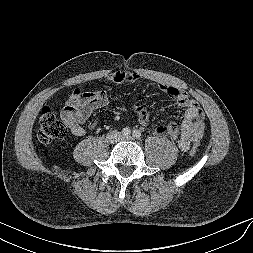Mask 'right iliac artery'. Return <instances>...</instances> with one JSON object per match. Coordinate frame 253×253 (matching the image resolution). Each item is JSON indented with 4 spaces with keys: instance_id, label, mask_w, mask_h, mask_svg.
<instances>
[{
    "instance_id": "right-iliac-artery-1",
    "label": "right iliac artery",
    "mask_w": 253,
    "mask_h": 253,
    "mask_svg": "<svg viewBox=\"0 0 253 253\" xmlns=\"http://www.w3.org/2000/svg\"><path fill=\"white\" fill-rule=\"evenodd\" d=\"M130 134H131V130L128 127L123 128V130H122L123 136H129Z\"/></svg>"
}]
</instances>
